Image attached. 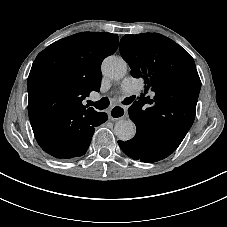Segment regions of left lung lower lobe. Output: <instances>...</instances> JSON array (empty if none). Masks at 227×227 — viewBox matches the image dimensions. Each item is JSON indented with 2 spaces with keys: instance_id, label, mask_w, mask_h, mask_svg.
<instances>
[{
  "instance_id": "left-lung-lower-lobe-1",
  "label": "left lung lower lobe",
  "mask_w": 227,
  "mask_h": 227,
  "mask_svg": "<svg viewBox=\"0 0 227 227\" xmlns=\"http://www.w3.org/2000/svg\"><path fill=\"white\" fill-rule=\"evenodd\" d=\"M121 150L129 157L152 163L168 157L175 149L157 142L147 132L137 129L136 135L128 141H118Z\"/></svg>"
}]
</instances>
